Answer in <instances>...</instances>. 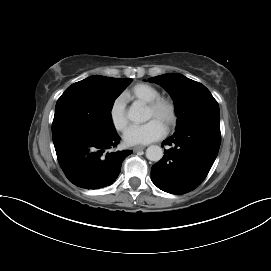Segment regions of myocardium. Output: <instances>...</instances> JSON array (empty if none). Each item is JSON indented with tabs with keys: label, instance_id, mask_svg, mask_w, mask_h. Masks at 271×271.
<instances>
[{
	"label": "myocardium",
	"instance_id": "1",
	"mask_svg": "<svg viewBox=\"0 0 271 271\" xmlns=\"http://www.w3.org/2000/svg\"><path fill=\"white\" fill-rule=\"evenodd\" d=\"M147 108L155 113L159 112L161 109L167 110L168 115L165 124V127L167 129H171L176 124L177 107L172 99L168 97L159 96L154 100L150 101L149 103H147Z\"/></svg>",
	"mask_w": 271,
	"mask_h": 271
}]
</instances>
